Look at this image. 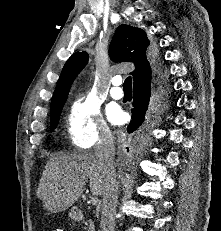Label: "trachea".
<instances>
[{"label": "trachea", "instance_id": "trachea-1", "mask_svg": "<svg viewBox=\"0 0 221 231\" xmlns=\"http://www.w3.org/2000/svg\"><path fill=\"white\" fill-rule=\"evenodd\" d=\"M124 91H131L132 90V78L129 76L125 79L123 83Z\"/></svg>", "mask_w": 221, "mask_h": 231}]
</instances>
